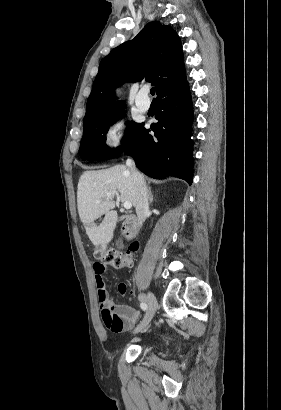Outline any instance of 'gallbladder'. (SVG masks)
<instances>
[{
	"label": "gallbladder",
	"instance_id": "bac80fb5",
	"mask_svg": "<svg viewBox=\"0 0 281 410\" xmlns=\"http://www.w3.org/2000/svg\"><path fill=\"white\" fill-rule=\"evenodd\" d=\"M118 248H119V249L123 248L122 242H119V243H118Z\"/></svg>",
	"mask_w": 281,
	"mask_h": 410
}]
</instances>
